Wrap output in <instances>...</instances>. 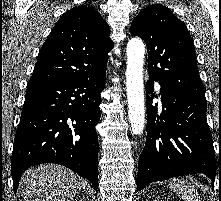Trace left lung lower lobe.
Segmentation results:
<instances>
[{"label": "left lung lower lobe", "instance_id": "left-lung-lower-lobe-1", "mask_svg": "<svg viewBox=\"0 0 221 201\" xmlns=\"http://www.w3.org/2000/svg\"><path fill=\"white\" fill-rule=\"evenodd\" d=\"M154 79L146 83L147 137L139 158L137 190L175 176L203 173L212 183L216 160L205 96L160 89L163 109L152 105ZM151 94V96H149Z\"/></svg>", "mask_w": 221, "mask_h": 201}]
</instances>
